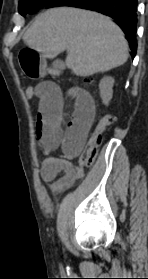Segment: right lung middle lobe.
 <instances>
[{
  "label": "right lung middle lobe",
  "mask_w": 148,
  "mask_h": 279,
  "mask_svg": "<svg viewBox=\"0 0 148 279\" xmlns=\"http://www.w3.org/2000/svg\"><path fill=\"white\" fill-rule=\"evenodd\" d=\"M50 0H20L18 10L22 16L33 14L43 8Z\"/></svg>",
  "instance_id": "right-lung-middle-lobe-1"
}]
</instances>
